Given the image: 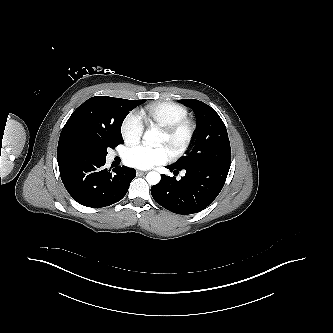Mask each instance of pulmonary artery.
I'll list each match as a JSON object with an SVG mask.
<instances>
[{
  "label": "pulmonary artery",
  "instance_id": "obj_1",
  "mask_svg": "<svg viewBox=\"0 0 333 333\" xmlns=\"http://www.w3.org/2000/svg\"><path fill=\"white\" fill-rule=\"evenodd\" d=\"M114 157V154H112L111 156H110V158H113Z\"/></svg>",
  "mask_w": 333,
  "mask_h": 333
}]
</instances>
